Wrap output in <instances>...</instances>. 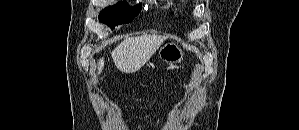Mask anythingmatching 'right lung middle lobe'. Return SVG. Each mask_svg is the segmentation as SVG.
Masks as SVG:
<instances>
[{"mask_svg": "<svg viewBox=\"0 0 299 130\" xmlns=\"http://www.w3.org/2000/svg\"><path fill=\"white\" fill-rule=\"evenodd\" d=\"M142 6L139 3L135 7H128L125 1L119 2L114 6L105 8L99 15L102 23L114 28L116 25L129 23L137 16Z\"/></svg>", "mask_w": 299, "mask_h": 130, "instance_id": "right-lung-middle-lobe-1", "label": "right lung middle lobe"}]
</instances>
